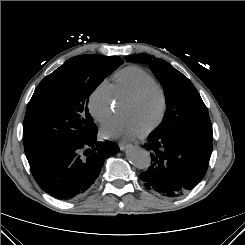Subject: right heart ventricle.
I'll list each match as a JSON object with an SVG mask.
<instances>
[{
	"instance_id": "1",
	"label": "right heart ventricle",
	"mask_w": 245,
	"mask_h": 245,
	"mask_svg": "<svg viewBox=\"0 0 245 245\" xmlns=\"http://www.w3.org/2000/svg\"><path fill=\"white\" fill-rule=\"evenodd\" d=\"M152 75L139 66H127L114 73L112 88L117 99H125L140 85L153 81Z\"/></svg>"
}]
</instances>
